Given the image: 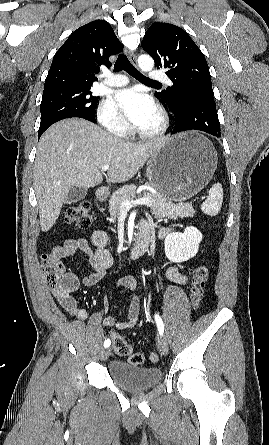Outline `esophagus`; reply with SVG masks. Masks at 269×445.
<instances>
[{
    "label": "esophagus",
    "mask_w": 269,
    "mask_h": 445,
    "mask_svg": "<svg viewBox=\"0 0 269 445\" xmlns=\"http://www.w3.org/2000/svg\"><path fill=\"white\" fill-rule=\"evenodd\" d=\"M127 55H128L129 60H130L133 64H136V63H137L136 55H135L132 51H127Z\"/></svg>",
    "instance_id": "esophagus-1"
}]
</instances>
